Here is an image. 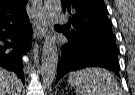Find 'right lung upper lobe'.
Instances as JSON below:
<instances>
[{"label":"right lung upper lobe","instance_id":"obj_1","mask_svg":"<svg viewBox=\"0 0 135 95\" xmlns=\"http://www.w3.org/2000/svg\"><path fill=\"white\" fill-rule=\"evenodd\" d=\"M26 4L27 0H0V24L27 17Z\"/></svg>","mask_w":135,"mask_h":95}]
</instances>
